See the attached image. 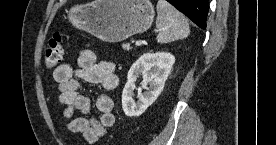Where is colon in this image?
Instances as JSON below:
<instances>
[{"label": "colon", "instance_id": "obj_1", "mask_svg": "<svg viewBox=\"0 0 276 145\" xmlns=\"http://www.w3.org/2000/svg\"><path fill=\"white\" fill-rule=\"evenodd\" d=\"M64 54L63 36L55 33L49 40L45 51V65L47 68L56 67L62 60Z\"/></svg>", "mask_w": 276, "mask_h": 145}]
</instances>
